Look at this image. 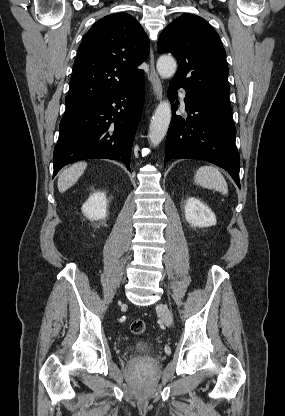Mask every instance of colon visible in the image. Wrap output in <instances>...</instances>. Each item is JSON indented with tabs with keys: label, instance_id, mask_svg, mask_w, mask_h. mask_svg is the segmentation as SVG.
<instances>
[{
	"label": "colon",
	"instance_id": "colon-1",
	"mask_svg": "<svg viewBox=\"0 0 285 416\" xmlns=\"http://www.w3.org/2000/svg\"><path fill=\"white\" fill-rule=\"evenodd\" d=\"M130 330L135 335L143 334L146 330V324L141 319L133 320L130 324Z\"/></svg>",
	"mask_w": 285,
	"mask_h": 416
}]
</instances>
